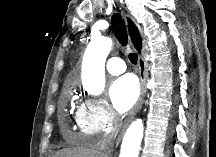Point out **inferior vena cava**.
<instances>
[{
    "label": "inferior vena cava",
    "mask_w": 216,
    "mask_h": 157,
    "mask_svg": "<svg viewBox=\"0 0 216 157\" xmlns=\"http://www.w3.org/2000/svg\"><path fill=\"white\" fill-rule=\"evenodd\" d=\"M115 134L106 133L102 139L96 144V150L99 157H110L114 144Z\"/></svg>",
    "instance_id": "inferior-vena-cava-1"
}]
</instances>
